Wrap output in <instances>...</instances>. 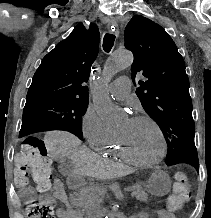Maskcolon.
Masks as SVG:
<instances>
[{
  "label": "colon",
  "mask_w": 211,
  "mask_h": 218,
  "mask_svg": "<svg viewBox=\"0 0 211 218\" xmlns=\"http://www.w3.org/2000/svg\"><path fill=\"white\" fill-rule=\"evenodd\" d=\"M53 167L45 142L35 136L27 137L15 157V181L19 186L32 180L39 192L45 193L52 186ZM174 193L169 198L168 206L177 210L190 198V184L184 172L175 175ZM28 218H55L51 204L33 201L27 205Z\"/></svg>",
  "instance_id": "1"
}]
</instances>
